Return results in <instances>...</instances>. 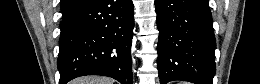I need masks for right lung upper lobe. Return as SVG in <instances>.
Returning <instances> with one entry per match:
<instances>
[{
    "label": "right lung upper lobe",
    "instance_id": "right-lung-upper-lobe-1",
    "mask_svg": "<svg viewBox=\"0 0 260 84\" xmlns=\"http://www.w3.org/2000/svg\"><path fill=\"white\" fill-rule=\"evenodd\" d=\"M88 0H61L62 17L73 12Z\"/></svg>",
    "mask_w": 260,
    "mask_h": 84
}]
</instances>
